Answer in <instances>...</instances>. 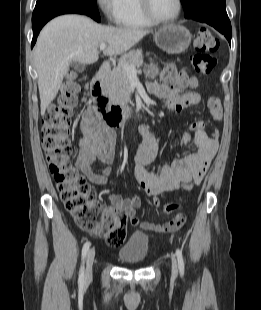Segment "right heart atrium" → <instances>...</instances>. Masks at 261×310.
I'll use <instances>...</instances> for the list:
<instances>
[{
    "label": "right heart atrium",
    "mask_w": 261,
    "mask_h": 310,
    "mask_svg": "<svg viewBox=\"0 0 261 310\" xmlns=\"http://www.w3.org/2000/svg\"><path fill=\"white\" fill-rule=\"evenodd\" d=\"M97 6L108 21L115 22L118 0H96Z\"/></svg>",
    "instance_id": "d8ad5b80"
}]
</instances>
